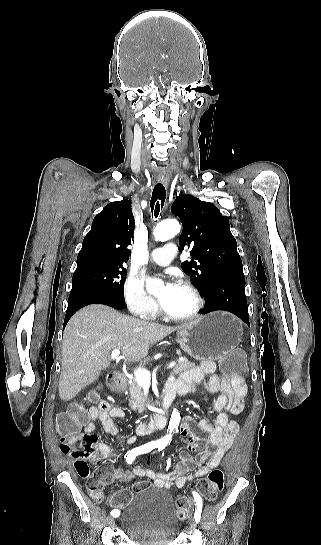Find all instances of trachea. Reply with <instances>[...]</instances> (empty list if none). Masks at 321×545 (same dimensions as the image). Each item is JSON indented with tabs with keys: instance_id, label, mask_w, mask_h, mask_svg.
Returning a JSON list of instances; mask_svg holds the SVG:
<instances>
[{
	"instance_id": "trachea-1",
	"label": "trachea",
	"mask_w": 321,
	"mask_h": 545,
	"mask_svg": "<svg viewBox=\"0 0 321 545\" xmlns=\"http://www.w3.org/2000/svg\"><path fill=\"white\" fill-rule=\"evenodd\" d=\"M155 180L157 182V185L156 187H154V190L152 192L150 205H151L152 216L157 218L159 215L160 209H162L164 206L166 192L163 185H161V183L164 180L163 177L159 175L156 177Z\"/></svg>"
}]
</instances>
